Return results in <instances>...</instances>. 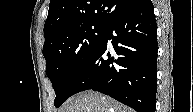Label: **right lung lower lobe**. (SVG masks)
<instances>
[{
  "instance_id": "right-lung-lower-lobe-1",
  "label": "right lung lower lobe",
  "mask_w": 193,
  "mask_h": 112,
  "mask_svg": "<svg viewBox=\"0 0 193 112\" xmlns=\"http://www.w3.org/2000/svg\"><path fill=\"white\" fill-rule=\"evenodd\" d=\"M151 0H140L106 26L70 96L92 89L137 112H155L157 31ZM108 40L115 54L107 52Z\"/></svg>"
}]
</instances>
